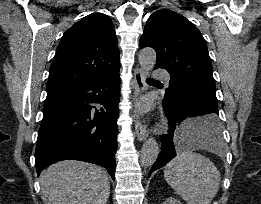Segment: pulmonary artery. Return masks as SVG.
Instances as JSON below:
<instances>
[{
    "label": "pulmonary artery",
    "mask_w": 261,
    "mask_h": 204,
    "mask_svg": "<svg viewBox=\"0 0 261 204\" xmlns=\"http://www.w3.org/2000/svg\"><path fill=\"white\" fill-rule=\"evenodd\" d=\"M154 77L164 80L166 83L170 82V75L161 69H156L153 73Z\"/></svg>",
    "instance_id": "pulmonary-artery-1"
}]
</instances>
